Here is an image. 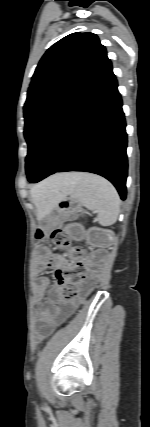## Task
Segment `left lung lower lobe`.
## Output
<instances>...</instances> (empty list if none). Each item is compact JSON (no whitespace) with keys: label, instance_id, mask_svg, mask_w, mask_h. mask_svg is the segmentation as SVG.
<instances>
[{"label":"left lung lower lobe","instance_id":"1","mask_svg":"<svg viewBox=\"0 0 150 427\" xmlns=\"http://www.w3.org/2000/svg\"><path fill=\"white\" fill-rule=\"evenodd\" d=\"M111 64L33 137L26 157L29 182L55 172L85 171L108 179L126 198L127 134Z\"/></svg>","mask_w":150,"mask_h":427}]
</instances>
